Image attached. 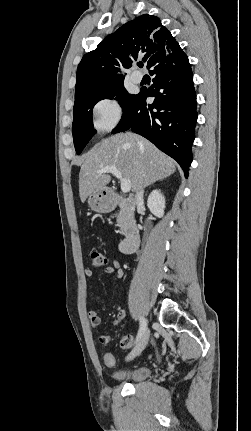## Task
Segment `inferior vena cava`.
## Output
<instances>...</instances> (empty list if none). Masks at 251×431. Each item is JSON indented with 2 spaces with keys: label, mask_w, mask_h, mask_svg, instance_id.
Returning <instances> with one entry per match:
<instances>
[{
  "label": "inferior vena cava",
  "mask_w": 251,
  "mask_h": 431,
  "mask_svg": "<svg viewBox=\"0 0 251 431\" xmlns=\"http://www.w3.org/2000/svg\"><path fill=\"white\" fill-rule=\"evenodd\" d=\"M143 196H144V189L141 187L135 194V202L137 204L143 202Z\"/></svg>",
  "instance_id": "1"
}]
</instances>
